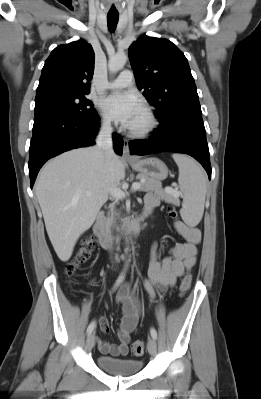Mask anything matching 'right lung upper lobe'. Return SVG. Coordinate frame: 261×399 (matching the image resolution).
<instances>
[{
	"mask_svg": "<svg viewBox=\"0 0 261 399\" xmlns=\"http://www.w3.org/2000/svg\"><path fill=\"white\" fill-rule=\"evenodd\" d=\"M95 54L84 40L56 47L45 61L36 98L60 94H89Z\"/></svg>",
	"mask_w": 261,
	"mask_h": 399,
	"instance_id": "obj_1",
	"label": "right lung upper lobe"
}]
</instances>
